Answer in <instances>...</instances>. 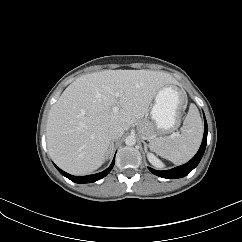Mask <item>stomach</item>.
<instances>
[{"label":"stomach","instance_id":"stomach-1","mask_svg":"<svg viewBox=\"0 0 242 242\" xmlns=\"http://www.w3.org/2000/svg\"><path fill=\"white\" fill-rule=\"evenodd\" d=\"M185 103L186 96L178 87L168 84L159 89L151 109L154 126L151 134L145 137L152 140L159 134L170 133L177 129ZM141 136H144L142 132Z\"/></svg>","mask_w":242,"mask_h":242}]
</instances>
